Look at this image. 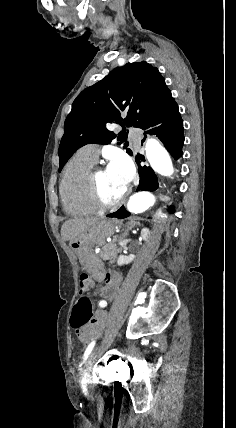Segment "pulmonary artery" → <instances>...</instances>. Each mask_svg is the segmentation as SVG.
<instances>
[{
    "instance_id": "e3ab8cb5",
    "label": "pulmonary artery",
    "mask_w": 236,
    "mask_h": 428,
    "mask_svg": "<svg viewBox=\"0 0 236 428\" xmlns=\"http://www.w3.org/2000/svg\"><path fill=\"white\" fill-rule=\"evenodd\" d=\"M131 139H132L133 143H135V144H137V145L140 143V140H141V138H140L139 136H133V137H131ZM86 151H87V154H88L92 159H94V160H96V159H97V156H98V150H97V148H96L95 146H87V147H86Z\"/></svg>"
}]
</instances>
